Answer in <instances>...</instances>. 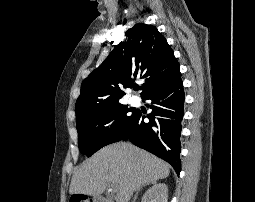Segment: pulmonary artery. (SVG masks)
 <instances>
[{
	"label": "pulmonary artery",
	"instance_id": "e3ab8cb5",
	"mask_svg": "<svg viewBox=\"0 0 255 202\" xmlns=\"http://www.w3.org/2000/svg\"><path fill=\"white\" fill-rule=\"evenodd\" d=\"M130 102H131L132 104H136V103H137V98L132 97V98L130 99Z\"/></svg>",
	"mask_w": 255,
	"mask_h": 202
}]
</instances>
